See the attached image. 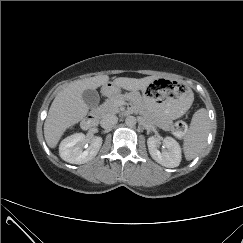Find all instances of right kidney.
<instances>
[{"label": "right kidney", "mask_w": 243, "mask_h": 243, "mask_svg": "<svg viewBox=\"0 0 243 243\" xmlns=\"http://www.w3.org/2000/svg\"><path fill=\"white\" fill-rule=\"evenodd\" d=\"M102 141L101 137H94L91 140H87L83 133H75L61 141L59 155L68 163L84 164L97 155Z\"/></svg>", "instance_id": "right-kidney-1"}]
</instances>
